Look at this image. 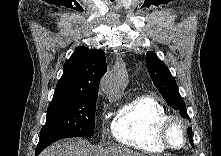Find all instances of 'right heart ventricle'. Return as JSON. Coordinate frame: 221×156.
Listing matches in <instances>:
<instances>
[{
	"label": "right heart ventricle",
	"instance_id": "1",
	"mask_svg": "<svg viewBox=\"0 0 221 156\" xmlns=\"http://www.w3.org/2000/svg\"><path fill=\"white\" fill-rule=\"evenodd\" d=\"M169 115L165 106L148 95L138 96L116 114L112 135L120 144L148 154H161L167 148L159 139V127Z\"/></svg>",
	"mask_w": 221,
	"mask_h": 156
}]
</instances>
